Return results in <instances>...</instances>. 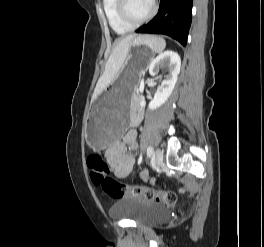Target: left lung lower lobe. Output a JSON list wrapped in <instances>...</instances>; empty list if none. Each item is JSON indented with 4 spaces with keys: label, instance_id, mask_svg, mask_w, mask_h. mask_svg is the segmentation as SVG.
I'll list each match as a JSON object with an SVG mask.
<instances>
[{
    "label": "left lung lower lobe",
    "instance_id": "obj_1",
    "mask_svg": "<svg viewBox=\"0 0 264 247\" xmlns=\"http://www.w3.org/2000/svg\"><path fill=\"white\" fill-rule=\"evenodd\" d=\"M192 5L193 0H160L157 15L136 32L168 35L186 46L191 25Z\"/></svg>",
    "mask_w": 264,
    "mask_h": 247
}]
</instances>
